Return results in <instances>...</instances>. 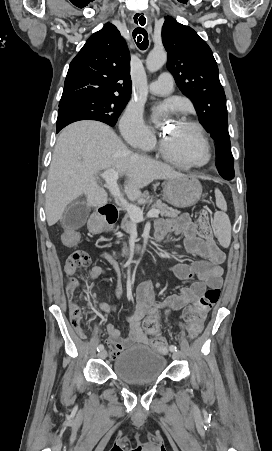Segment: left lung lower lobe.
Masks as SVG:
<instances>
[{
    "instance_id": "0a47b994",
    "label": "left lung lower lobe",
    "mask_w": 272,
    "mask_h": 451,
    "mask_svg": "<svg viewBox=\"0 0 272 451\" xmlns=\"http://www.w3.org/2000/svg\"><path fill=\"white\" fill-rule=\"evenodd\" d=\"M231 178H226V180H230Z\"/></svg>"
}]
</instances>
